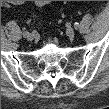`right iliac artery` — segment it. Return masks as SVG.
<instances>
[{"instance_id": "right-iliac-artery-1", "label": "right iliac artery", "mask_w": 109, "mask_h": 109, "mask_svg": "<svg viewBox=\"0 0 109 109\" xmlns=\"http://www.w3.org/2000/svg\"><path fill=\"white\" fill-rule=\"evenodd\" d=\"M28 33H29V32H27V31H26V32H24V33H23L24 37H25Z\"/></svg>"}]
</instances>
